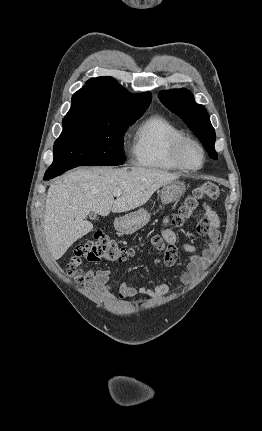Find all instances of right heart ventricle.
I'll use <instances>...</instances> for the list:
<instances>
[{
  "mask_svg": "<svg viewBox=\"0 0 262 431\" xmlns=\"http://www.w3.org/2000/svg\"><path fill=\"white\" fill-rule=\"evenodd\" d=\"M183 137V132L162 116L152 115L144 119L137 126L133 139V155L137 165L180 171L172 158V148Z\"/></svg>",
  "mask_w": 262,
  "mask_h": 431,
  "instance_id": "right-heart-ventricle-1",
  "label": "right heart ventricle"
}]
</instances>
